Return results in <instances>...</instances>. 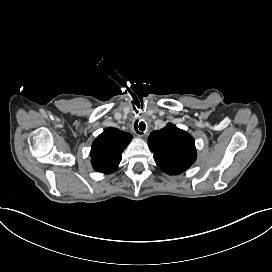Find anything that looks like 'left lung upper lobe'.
<instances>
[{
    "label": "left lung upper lobe",
    "instance_id": "left-lung-upper-lobe-1",
    "mask_svg": "<svg viewBox=\"0 0 272 272\" xmlns=\"http://www.w3.org/2000/svg\"><path fill=\"white\" fill-rule=\"evenodd\" d=\"M148 145L154 153L156 164L169 175L181 174L196 160L193 137L171 123L151 132Z\"/></svg>",
    "mask_w": 272,
    "mask_h": 272
}]
</instances>
